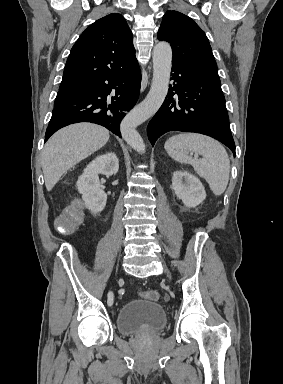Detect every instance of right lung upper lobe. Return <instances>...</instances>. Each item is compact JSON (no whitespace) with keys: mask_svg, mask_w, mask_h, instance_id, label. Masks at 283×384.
Wrapping results in <instances>:
<instances>
[{"mask_svg":"<svg viewBox=\"0 0 283 384\" xmlns=\"http://www.w3.org/2000/svg\"><path fill=\"white\" fill-rule=\"evenodd\" d=\"M138 65L133 36L121 14H109L91 24L67 59L59 91H79L86 85L126 73Z\"/></svg>","mask_w":283,"mask_h":384,"instance_id":"right-lung-upper-lobe-1","label":"right lung upper lobe"}]
</instances>
